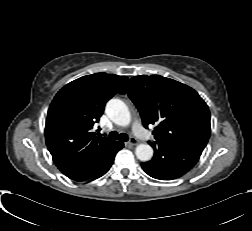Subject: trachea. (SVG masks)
<instances>
[{
  "instance_id": "obj_1",
  "label": "trachea",
  "mask_w": 252,
  "mask_h": 231,
  "mask_svg": "<svg viewBox=\"0 0 252 231\" xmlns=\"http://www.w3.org/2000/svg\"><path fill=\"white\" fill-rule=\"evenodd\" d=\"M108 138L111 140H120V141H128V135L126 133H121L120 135L116 131L110 132Z\"/></svg>"
}]
</instances>
